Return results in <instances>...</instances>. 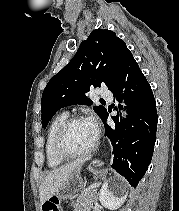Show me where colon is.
<instances>
[{"label":"colon","instance_id":"colon-1","mask_svg":"<svg viewBox=\"0 0 179 211\" xmlns=\"http://www.w3.org/2000/svg\"><path fill=\"white\" fill-rule=\"evenodd\" d=\"M43 211H62L60 201L57 196H53L46 200L42 205Z\"/></svg>","mask_w":179,"mask_h":211}]
</instances>
